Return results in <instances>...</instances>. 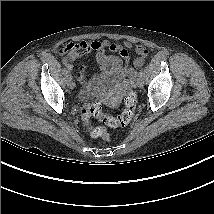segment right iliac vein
Instances as JSON below:
<instances>
[{"label": "right iliac vein", "mask_w": 214, "mask_h": 214, "mask_svg": "<svg viewBox=\"0 0 214 214\" xmlns=\"http://www.w3.org/2000/svg\"><path fill=\"white\" fill-rule=\"evenodd\" d=\"M70 86H74V83H73V82H71V83H70Z\"/></svg>", "instance_id": "1"}]
</instances>
